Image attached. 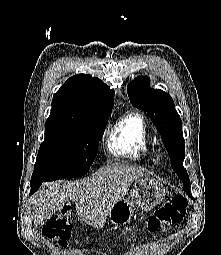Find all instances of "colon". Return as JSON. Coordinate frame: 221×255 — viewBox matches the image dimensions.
Here are the masks:
<instances>
[{
    "label": "colon",
    "mask_w": 221,
    "mask_h": 255,
    "mask_svg": "<svg viewBox=\"0 0 221 255\" xmlns=\"http://www.w3.org/2000/svg\"><path fill=\"white\" fill-rule=\"evenodd\" d=\"M187 201L181 196L173 197L161 205L151 215L147 228L150 232H155L161 227L177 224L186 216ZM43 235L56 242L59 247L64 248L72 233V217L68 206L51 216L43 227Z\"/></svg>",
    "instance_id": "5ec220e1"
}]
</instances>
